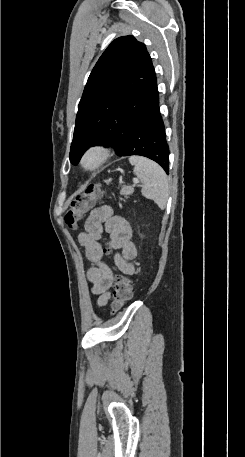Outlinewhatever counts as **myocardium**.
<instances>
[{
    "label": "myocardium",
    "mask_w": 245,
    "mask_h": 457,
    "mask_svg": "<svg viewBox=\"0 0 245 457\" xmlns=\"http://www.w3.org/2000/svg\"><path fill=\"white\" fill-rule=\"evenodd\" d=\"M109 152L103 146H93L82 156L81 165L84 169L94 171L98 169L108 158Z\"/></svg>",
    "instance_id": "f54148a6"
}]
</instances>
